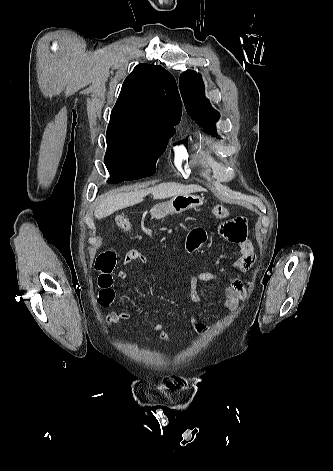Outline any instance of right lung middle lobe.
Here are the masks:
<instances>
[{"label": "right lung middle lobe", "instance_id": "obj_1", "mask_svg": "<svg viewBox=\"0 0 333 471\" xmlns=\"http://www.w3.org/2000/svg\"><path fill=\"white\" fill-rule=\"evenodd\" d=\"M174 132L147 125L110 122L105 155V165L110 173L108 182L120 183L153 175L156 161L166 150Z\"/></svg>", "mask_w": 333, "mask_h": 471}]
</instances>
